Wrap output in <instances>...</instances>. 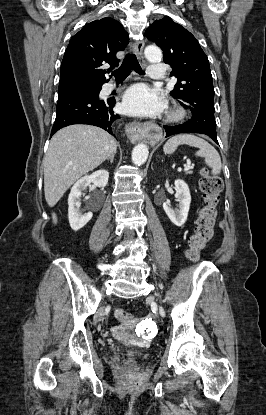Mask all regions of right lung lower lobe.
Returning a JSON list of instances; mask_svg holds the SVG:
<instances>
[{
	"label": "right lung lower lobe",
	"instance_id": "right-lung-lower-lobe-1",
	"mask_svg": "<svg viewBox=\"0 0 266 415\" xmlns=\"http://www.w3.org/2000/svg\"><path fill=\"white\" fill-rule=\"evenodd\" d=\"M114 105V98L100 100L99 92L89 95L59 97L51 135L72 124L95 125L114 135V123L120 118L113 112Z\"/></svg>",
	"mask_w": 266,
	"mask_h": 415
}]
</instances>
